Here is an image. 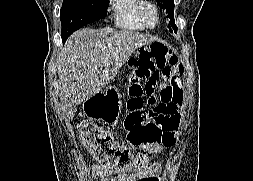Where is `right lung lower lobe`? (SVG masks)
<instances>
[{
    "label": "right lung lower lobe",
    "instance_id": "right-lung-lower-lobe-1",
    "mask_svg": "<svg viewBox=\"0 0 253 181\" xmlns=\"http://www.w3.org/2000/svg\"><path fill=\"white\" fill-rule=\"evenodd\" d=\"M70 35H71V34L62 35V41H63V43L67 40V38H68Z\"/></svg>",
    "mask_w": 253,
    "mask_h": 181
}]
</instances>
